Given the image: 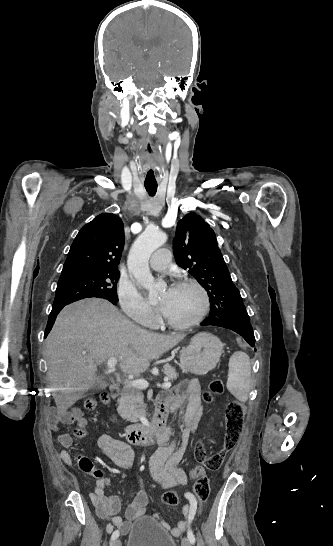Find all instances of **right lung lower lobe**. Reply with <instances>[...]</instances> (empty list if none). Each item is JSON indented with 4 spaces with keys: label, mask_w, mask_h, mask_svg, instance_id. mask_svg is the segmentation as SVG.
Here are the masks:
<instances>
[{
    "label": "right lung lower lobe",
    "mask_w": 333,
    "mask_h": 546,
    "mask_svg": "<svg viewBox=\"0 0 333 546\" xmlns=\"http://www.w3.org/2000/svg\"><path fill=\"white\" fill-rule=\"evenodd\" d=\"M111 303L113 304H117L116 301H113V300H109ZM67 305V304H65ZM65 305H59V306H53L52 308V311L49 315V319H48V323H47V326H46V330H45V335L44 337H46L48 335V333L50 332L53 324H54V321L56 319V316L58 315V313L62 310V308L65 306Z\"/></svg>",
    "instance_id": "obj_1"
}]
</instances>
